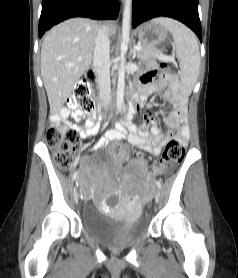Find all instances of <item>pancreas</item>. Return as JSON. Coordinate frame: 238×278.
<instances>
[{
    "instance_id": "cf45deb5",
    "label": "pancreas",
    "mask_w": 238,
    "mask_h": 278,
    "mask_svg": "<svg viewBox=\"0 0 238 278\" xmlns=\"http://www.w3.org/2000/svg\"><path fill=\"white\" fill-rule=\"evenodd\" d=\"M137 56L141 60L149 58L161 59L162 57H164L159 49L145 43H141V50L137 52Z\"/></svg>"
}]
</instances>
